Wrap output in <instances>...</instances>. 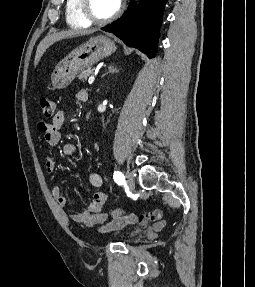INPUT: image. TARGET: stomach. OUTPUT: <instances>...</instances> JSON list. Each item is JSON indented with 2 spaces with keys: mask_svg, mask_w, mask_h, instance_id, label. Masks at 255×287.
Returning <instances> with one entry per match:
<instances>
[{
  "mask_svg": "<svg viewBox=\"0 0 255 287\" xmlns=\"http://www.w3.org/2000/svg\"><path fill=\"white\" fill-rule=\"evenodd\" d=\"M115 50L114 40L107 38V36H95V38H90L85 44H80L69 54L66 60V68L53 74V88H66L79 72H83L86 68H91L93 64H97L103 58L111 56Z\"/></svg>",
  "mask_w": 255,
  "mask_h": 287,
  "instance_id": "1",
  "label": "stomach"
}]
</instances>
